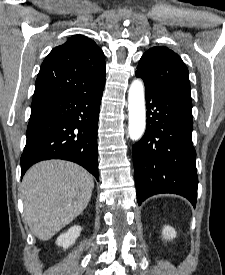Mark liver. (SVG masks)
Instances as JSON below:
<instances>
[{
  "label": "liver",
  "mask_w": 225,
  "mask_h": 275,
  "mask_svg": "<svg viewBox=\"0 0 225 275\" xmlns=\"http://www.w3.org/2000/svg\"><path fill=\"white\" fill-rule=\"evenodd\" d=\"M93 177L81 166L63 160L42 161L22 180L24 214L34 236L47 241L87 207Z\"/></svg>",
  "instance_id": "1"
}]
</instances>
